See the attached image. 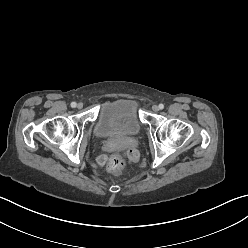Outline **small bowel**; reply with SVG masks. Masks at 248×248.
Returning <instances> with one entry per match:
<instances>
[{
  "mask_svg": "<svg viewBox=\"0 0 248 248\" xmlns=\"http://www.w3.org/2000/svg\"><path fill=\"white\" fill-rule=\"evenodd\" d=\"M136 154H137V151H136V149H135L134 147H132V148H130V149L128 150V155H129V156L133 157V156H135Z\"/></svg>",
  "mask_w": 248,
  "mask_h": 248,
  "instance_id": "obj_1",
  "label": "small bowel"
}]
</instances>
